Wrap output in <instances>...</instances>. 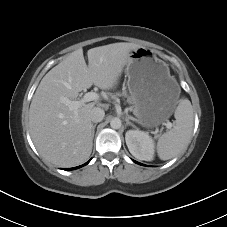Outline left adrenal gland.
<instances>
[{
	"label": "left adrenal gland",
	"mask_w": 227,
	"mask_h": 227,
	"mask_svg": "<svg viewBox=\"0 0 227 227\" xmlns=\"http://www.w3.org/2000/svg\"><path fill=\"white\" fill-rule=\"evenodd\" d=\"M125 121H126V125H130L133 128H136V126L132 122H130L128 118H125Z\"/></svg>",
	"instance_id": "obj_1"
}]
</instances>
